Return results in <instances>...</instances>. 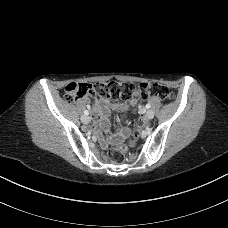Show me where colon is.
<instances>
[{
  "mask_svg": "<svg viewBox=\"0 0 228 228\" xmlns=\"http://www.w3.org/2000/svg\"><path fill=\"white\" fill-rule=\"evenodd\" d=\"M139 94L143 98L157 97L164 101H171L174 98L172 90L157 82L141 83L134 85L130 82H100L94 85L84 82H73L66 86L64 98L68 102L88 97L99 98H121L129 100L134 95ZM144 121L141 119L138 123V129L143 127ZM137 135L129 142L130 146L136 143ZM127 147L124 144H118L112 147L108 153L109 159L114 163H122L125 158Z\"/></svg>",
  "mask_w": 228,
  "mask_h": 228,
  "instance_id": "1",
  "label": "colon"
}]
</instances>
